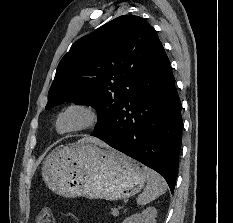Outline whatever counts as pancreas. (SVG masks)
<instances>
[{
    "label": "pancreas",
    "mask_w": 233,
    "mask_h": 223,
    "mask_svg": "<svg viewBox=\"0 0 233 223\" xmlns=\"http://www.w3.org/2000/svg\"><path fill=\"white\" fill-rule=\"evenodd\" d=\"M115 211H118V209H113V207H112L111 213H115Z\"/></svg>",
    "instance_id": "pancreas-1"
}]
</instances>
